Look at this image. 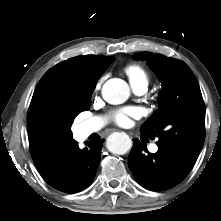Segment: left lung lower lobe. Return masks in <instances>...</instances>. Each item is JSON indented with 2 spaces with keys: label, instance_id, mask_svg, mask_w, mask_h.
Returning a JSON list of instances; mask_svg holds the SVG:
<instances>
[{
  "label": "left lung lower lobe",
  "instance_id": "1",
  "mask_svg": "<svg viewBox=\"0 0 221 221\" xmlns=\"http://www.w3.org/2000/svg\"><path fill=\"white\" fill-rule=\"evenodd\" d=\"M129 168L136 181L151 191H164L180 183L189 169L170 152L159 148L156 153L144 154L145 146L133 139Z\"/></svg>",
  "mask_w": 221,
  "mask_h": 221
}]
</instances>
